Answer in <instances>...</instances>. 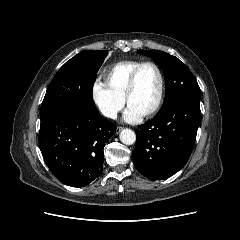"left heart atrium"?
Returning <instances> with one entry per match:
<instances>
[{"label":"left heart atrium","mask_w":240,"mask_h":240,"mask_svg":"<svg viewBox=\"0 0 240 240\" xmlns=\"http://www.w3.org/2000/svg\"><path fill=\"white\" fill-rule=\"evenodd\" d=\"M142 114L132 106H128L124 112L123 120L128 123H135L140 120Z\"/></svg>","instance_id":"obj_1"}]
</instances>
